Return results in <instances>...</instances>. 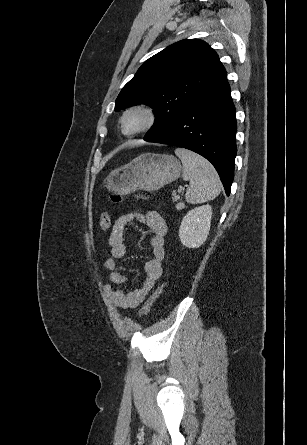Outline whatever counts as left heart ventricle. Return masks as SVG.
Returning a JSON list of instances; mask_svg holds the SVG:
<instances>
[{"label": "left heart ventricle", "instance_id": "left-heart-ventricle-1", "mask_svg": "<svg viewBox=\"0 0 307 445\" xmlns=\"http://www.w3.org/2000/svg\"><path fill=\"white\" fill-rule=\"evenodd\" d=\"M148 116L143 110H132L124 119L123 131L127 134H131L146 125Z\"/></svg>", "mask_w": 307, "mask_h": 445}]
</instances>
